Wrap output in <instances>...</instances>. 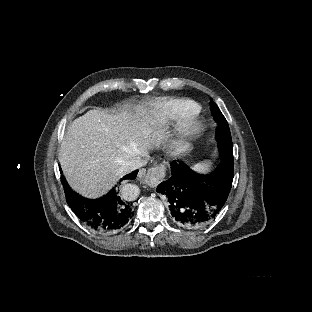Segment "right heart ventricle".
I'll list each match as a JSON object with an SVG mask.
<instances>
[{
	"mask_svg": "<svg viewBox=\"0 0 312 312\" xmlns=\"http://www.w3.org/2000/svg\"><path fill=\"white\" fill-rule=\"evenodd\" d=\"M198 104L194 98L183 96L177 100V103L170 102L162 98L152 104L151 110L155 116L166 115L169 119L175 120L181 116V113L190 115L197 110Z\"/></svg>",
	"mask_w": 312,
	"mask_h": 312,
	"instance_id": "right-heart-ventricle-1",
	"label": "right heart ventricle"
}]
</instances>
